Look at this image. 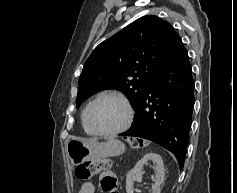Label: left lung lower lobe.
I'll list each match as a JSON object with an SVG mask.
<instances>
[{"label": "left lung lower lobe", "mask_w": 237, "mask_h": 193, "mask_svg": "<svg viewBox=\"0 0 237 193\" xmlns=\"http://www.w3.org/2000/svg\"><path fill=\"white\" fill-rule=\"evenodd\" d=\"M194 106V80L181 42L153 79L141 100L133 126L119 136L151 140L184 166Z\"/></svg>", "instance_id": "1"}]
</instances>
